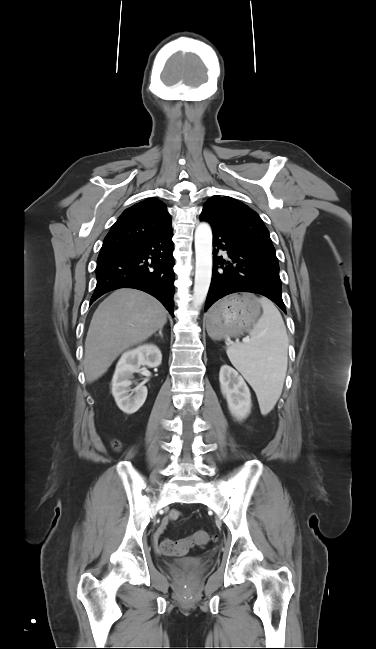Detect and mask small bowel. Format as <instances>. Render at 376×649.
Listing matches in <instances>:
<instances>
[{"label":"small bowel","mask_w":376,"mask_h":649,"mask_svg":"<svg viewBox=\"0 0 376 649\" xmlns=\"http://www.w3.org/2000/svg\"><path fill=\"white\" fill-rule=\"evenodd\" d=\"M180 516H181V513L178 510H172L171 513H170V519L171 520H177Z\"/></svg>","instance_id":"obj_1"}]
</instances>
